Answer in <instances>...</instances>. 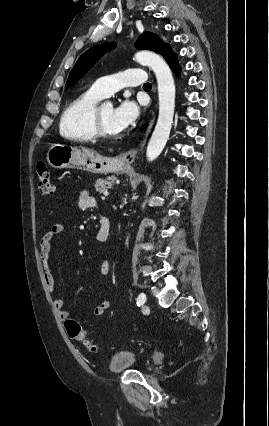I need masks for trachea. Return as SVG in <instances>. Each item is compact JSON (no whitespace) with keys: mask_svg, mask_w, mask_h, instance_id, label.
Wrapping results in <instances>:
<instances>
[{"mask_svg":"<svg viewBox=\"0 0 269 426\" xmlns=\"http://www.w3.org/2000/svg\"><path fill=\"white\" fill-rule=\"evenodd\" d=\"M143 88H151V84H150V83H145V84L143 85Z\"/></svg>","mask_w":269,"mask_h":426,"instance_id":"trachea-1","label":"trachea"}]
</instances>
